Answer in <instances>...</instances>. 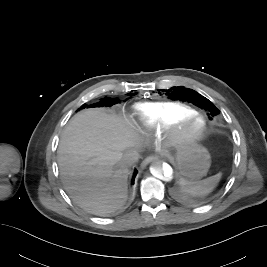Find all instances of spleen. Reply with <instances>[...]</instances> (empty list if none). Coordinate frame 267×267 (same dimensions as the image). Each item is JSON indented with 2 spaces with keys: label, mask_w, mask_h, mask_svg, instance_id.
Returning <instances> with one entry per match:
<instances>
[{
  "label": "spleen",
  "mask_w": 267,
  "mask_h": 267,
  "mask_svg": "<svg viewBox=\"0 0 267 267\" xmlns=\"http://www.w3.org/2000/svg\"><path fill=\"white\" fill-rule=\"evenodd\" d=\"M221 173L200 181H190L184 178L180 179L181 189L184 193L192 196L207 195L216 187L220 181Z\"/></svg>",
  "instance_id": "3e777b00"
}]
</instances>
